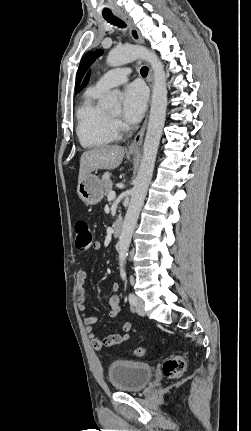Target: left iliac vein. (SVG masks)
Here are the masks:
<instances>
[{
    "label": "left iliac vein",
    "instance_id": "left-iliac-vein-1",
    "mask_svg": "<svg viewBox=\"0 0 251 431\" xmlns=\"http://www.w3.org/2000/svg\"><path fill=\"white\" fill-rule=\"evenodd\" d=\"M135 298H136L135 311L139 315L144 316L145 315V309H144L145 303H144L143 299H141L137 296H135Z\"/></svg>",
    "mask_w": 251,
    "mask_h": 431
}]
</instances>
